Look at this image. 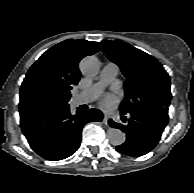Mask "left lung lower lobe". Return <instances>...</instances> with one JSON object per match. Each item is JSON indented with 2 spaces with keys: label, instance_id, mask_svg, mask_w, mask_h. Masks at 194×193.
<instances>
[{
  "label": "left lung lower lobe",
  "instance_id": "left-lung-lower-lobe-1",
  "mask_svg": "<svg viewBox=\"0 0 194 193\" xmlns=\"http://www.w3.org/2000/svg\"><path fill=\"white\" fill-rule=\"evenodd\" d=\"M120 113L122 120L127 121L125 125L111 119L108 123L126 134L125 142L116 150L133 157L145 155L157 145L169 118L168 110H120Z\"/></svg>",
  "mask_w": 194,
  "mask_h": 193
}]
</instances>
